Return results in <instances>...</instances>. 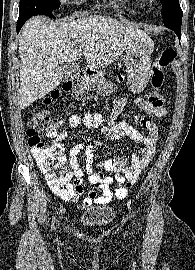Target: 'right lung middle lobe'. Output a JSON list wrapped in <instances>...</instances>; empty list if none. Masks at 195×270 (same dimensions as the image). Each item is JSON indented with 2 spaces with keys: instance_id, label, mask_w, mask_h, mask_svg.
Segmentation results:
<instances>
[{
  "instance_id": "obj_1",
  "label": "right lung middle lobe",
  "mask_w": 195,
  "mask_h": 270,
  "mask_svg": "<svg viewBox=\"0 0 195 270\" xmlns=\"http://www.w3.org/2000/svg\"><path fill=\"white\" fill-rule=\"evenodd\" d=\"M60 7L59 0H20V11H33L55 18L52 10Z\"/></svg>"
}]
</instances>
